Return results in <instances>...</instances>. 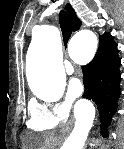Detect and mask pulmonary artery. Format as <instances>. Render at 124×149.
<instances>
[{
    "mask_svg": "<svg viewBox=\"0 0 124 149\" xmlns=\"http://www.w3.org/2000/svg\"><path fill=\"white\" fill-rule=\"evenodd\" d=\"M65 68H66V72H67L68 74H71V73H73V71H74L73 65H72V63L69 62V61H67V62L65 63Z\"/></svg>",
    "mask_w": 124,
    "mask_h": 149,
    "instance_id": "obj_1",
    "label": "pulmonary artery"
}]
</instances>
